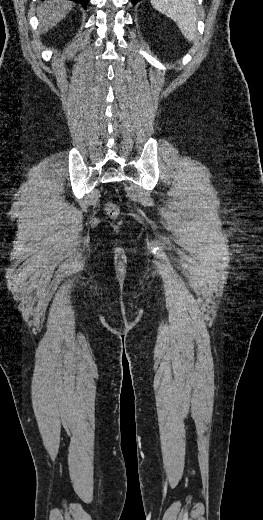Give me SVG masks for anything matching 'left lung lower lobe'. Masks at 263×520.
<instances>
[{
	"label": "left lung lower lobe",
	"instance_id": "0a47b994",
	"mask_svg": "<svg viewBox=\"0 0 263 520\" xmlns=\"http://www.w3.org/2000/svg\"><path fill=\"white\" fill-rule=\"evenodd\" d=\"M131 1H132L133 5H135L140 0H131Z\"/></svg>",
	"mask_w": 263,
	"mask_h": 520
}]
</instances>
